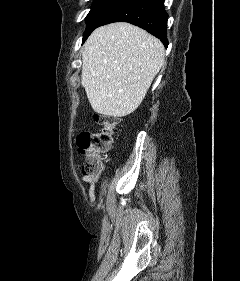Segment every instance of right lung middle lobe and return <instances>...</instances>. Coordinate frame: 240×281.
I'll use <instances>...</instances> for the list:
<instances>
[{"mask_svg": "<svg viewBox=\"0 0 240 281\" xmlns=\"http://www.w3.org/2000/svg\"><path fill=\"white\" fill-rule=\"evenodd\" d=\"M121 0H94L91 11L86 17L87 28L84 38L96 28L100 20Z\"/></svg>", "mask_w": 240, "mask_h": 281, "instance_id": "1", "label": "right lung middle lobe"}]
</instances>
